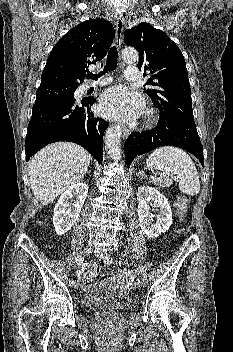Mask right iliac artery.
Masks as SVG:
<instances>
[{"label":"right iliac artery","mask_w":233,"mask_h":352,"mask_svg":"<svg viewBox=\"0 0 233 352\" xmlns=\"http://www.w3.org/2000/svg\"><path fill=\"white\" fill-rule=\"evenodd\" d=\"M75 261H76V263H77L78 265H82L83 262H84V257L81 256V255H79V256L76 257ZM74 284H75V283H74V280H70V281H69V285L73 286Z\"/></svg>","instance_id":"82829eb1"}]
</instances>
